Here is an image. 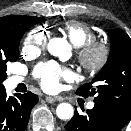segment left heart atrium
<instances>
[{"mask_svg": "<svg viewBox=\"0 0 131 131\" xmlns=\"http://www.w3.org/2000/svg\"><path fill=\"white\" fill-rule=\"evenodd\" d=\"M35 73L40 79L41 86L47 91L55 90L61 79L71 77V72L68 69L54 62L39 64L35 69Z\"/></svg>", "mask_w": 131, "mask_h": 131, "instance_id": "39dd6f15", "label": "left heart atrium"}]
</instances>
